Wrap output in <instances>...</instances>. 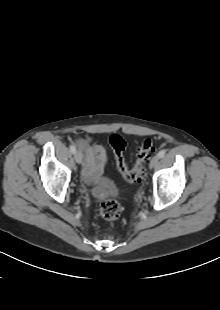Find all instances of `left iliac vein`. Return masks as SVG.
<instances>
[{"label": "left iliac vein", "instance_id": "1", "mask_svg": "<svg viewBox=\"0 0 220 310\" xmlns=\"http://www.w3.org/2000/svg\"><path fill=\"white\" fill-rule=\"evenodd\" d=\"M158 163H159V156L156 155L150 161V164H149L150 169L155 168L158 165Z\"/></svg>", "mask_w": 220, "mask_h": 310}]
</instances>
